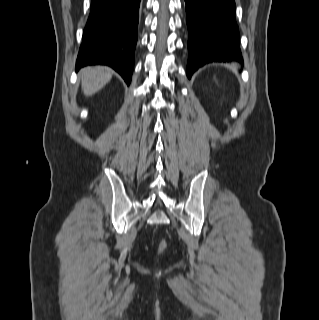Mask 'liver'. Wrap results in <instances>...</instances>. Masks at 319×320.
<instances>
[{"mask_svg":"<svg viewBox=\"0 0 319 320\" xmlns=\"http://www.w3.org/2000/svg\"><path fill=\"white\" fill-rule=\"evenodd\" d=\"M81 87L86 96L101 90L112 78V71L108 67H86L81 70Z\"/></svg>","mask_w":319,"mask_h":320,"instance_id":"6515ba94","label":"liver"}]
</instances>
